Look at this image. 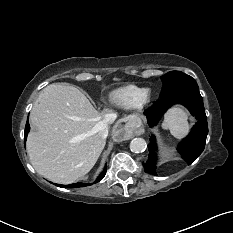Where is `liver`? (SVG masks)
<instances>
[{
  "label": "liver",
  "instance_id": "liver-1",
  "mask_svg": "<svg viewBox=\"0 0 233 233\" xmlns=\"http://www.w3.org/2000/svg\"><path fill=\"white\" fill-rule=\"evenodd\" d=\"M30 121L34 130L27 138L29 159L36 172L50 181L71 184L85 176L105 147L99 135L103 114L72 85L45 87Z\"/></svg>",
  "mask_w": 233,
  "mask_h": 233
}]
</instances>
